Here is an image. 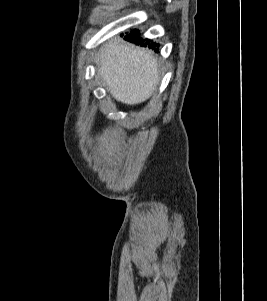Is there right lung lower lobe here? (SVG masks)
<instances>
[{
	"label": "right lung lower lobe",
	"mask_w": 267,
	"mask_h": 301,
	"mask_svg": "<svg viewBox=\"0 0 267 301\" xmlns=\"http://www.w3.org/2000/svg\"><path fill=\"white\" fill-rule=\"evenodd\" d=\"M138 35H139V31H138V30H134V31H132V32L129 34V36H127V40H130L131 38L137 39V43L143 45L142 38H136ZM147 41H148V43H145L144 46H147V44H148L149 48H152V49H154L155 51H157V49H156L155 47H156V46L158 47V44L153 43V42L150 43V40H147ZM133 42H134V41H133Z\"/></svg>",
	"instance_id": "98d812e1"
}]
</instances>
